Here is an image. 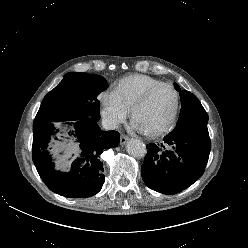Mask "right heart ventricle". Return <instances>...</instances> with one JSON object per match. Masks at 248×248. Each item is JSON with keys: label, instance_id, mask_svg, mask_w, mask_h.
<instances>
[{"label": "right heart ventricle", "instance_id": "obj_1", "mask_svg": "<svg viewBox=\"0 0 248 248\" xmlns=\"http://www.w3.org/2000/svg\"><path fill=\"white\" fill-rule=\"evenodd\" d=\"M161 83L160 80L143 74H132L120 79L113 89V94L121 106L131 111L135 103L151 87Z\"/></svg>", "mask_w": 248, "mask_h": 248}]
</instances>
